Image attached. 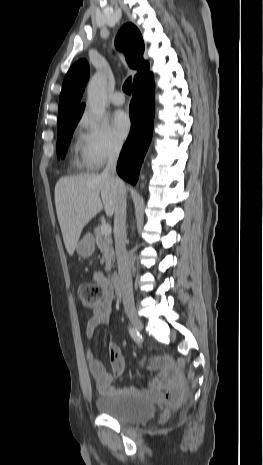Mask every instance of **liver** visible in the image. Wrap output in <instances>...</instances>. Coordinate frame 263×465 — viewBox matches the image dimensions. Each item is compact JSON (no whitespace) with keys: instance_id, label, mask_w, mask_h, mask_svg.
<instances>
[{"instance_id":"obj_1","label":"liver","mask_w":263,"mask_h":465,"mask_svg":"<svg viewBox=\"0 0 263 465\" xmlns=\"http://www.w3.org/2000/svg\"><path fill=\"white\" fill-rule=\"evenodd\" d=\"M118 189L101 174L61 177L55 185V206L66 250L73 255L83 228L103 208L112 216Z\"/></svg>"}]
</instances>
